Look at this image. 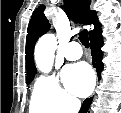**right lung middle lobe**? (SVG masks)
I'll list each match as a JSON object with an SVG mask.
<instances>
[{
	"mask_svg": "<svg viewBox=\"0 0 121 113\" xmlns=\"http://www.w3.org/2000/svg\"><path fill=\"white\" fill-rule=\"evenodd\" d=\"M34 76L27 77V84L30 83L33 80Z\"/></svg>",
	"mask_w": 121,
	"mask_h": 113,
	"instance_id": "1",
	"label": "right lung middle lobe"
}]
</instances>
